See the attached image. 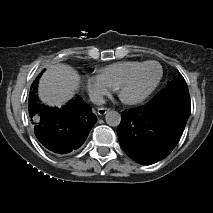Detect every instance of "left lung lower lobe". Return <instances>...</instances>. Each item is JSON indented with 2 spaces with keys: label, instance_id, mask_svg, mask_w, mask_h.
<instances>
[{
  "label": "left lung lower lobe",
  "instance_id": "obj_1",
  "mask_svg": "<svg viewBox=\"0 0 213 213\" xmlns=\"http://www.w3.org/2000/svg\"><path fill=\"white\" fill-rule=\"evenodd\" d=\"M190 112L188 88L167 86L146 105L121 113L122 149L141 164L160 161L179 142Z\"/></svg>",
  "mask_w": 213,
  "mask_h": 213
}]
</instances>
